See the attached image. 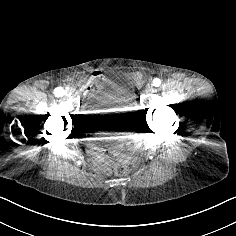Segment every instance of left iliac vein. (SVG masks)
Instances as JSON below:
<instances>
[{"label":"left iliac vein","mask_w":236,"mask_h":236,"mask_svg":"<svg viewBox=\"0 0 236 236\" xmlns=\"http://www.w3.org/2000/svg\"><path fill=\"white\" fill-rule=\"evenodd\" d=\"M144 90H145L148 94H153V93H154V88H153L150 84H147V85L144 87Z\"/></svg>","instance_id":"obj_1"}]
</instances>
